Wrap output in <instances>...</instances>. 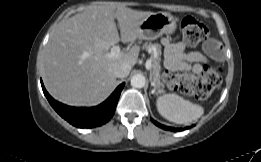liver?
I'll return each instance as SVG.
<instances>
[{"label":"liver","mask_w":261,"mask_h":162,"mask_svg":"<svg viewBox=\"0 0 261 162\" xmlns=\"http://www.w3.org/2000/svg\"><path fill=\"white\" fill-rule=\"evenodd\" d=\"M151 14L106 4L93 6L63 22L51 35L43 56L42 76L48 92L73 106H93L104 101L114 88V67L127 63L132 68L140 52L134 46L118 58H108L109 49L120 40L133 43L139 39L138 25Z\"/></svg>","instance_id":"1"}]
</instances>
